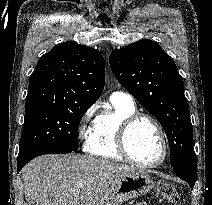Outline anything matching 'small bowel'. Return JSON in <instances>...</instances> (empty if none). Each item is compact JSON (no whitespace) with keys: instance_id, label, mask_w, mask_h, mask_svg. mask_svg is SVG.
Returning <instances> with one entry per match:
<instances>
[{"instance_id":"obj_1","label":"small bowel","mask_w":212,"mask_h":205,"mask_svg":"<svg viewBox=\"0 0 212 205\" xmlns=\"http://www.w3.org/2000/svg\"><path fill=\"white\" fill-rule=\"evenodd\" d=\"M136 205H147L146 203H138Z\"/></svg>"}]
</instances>
